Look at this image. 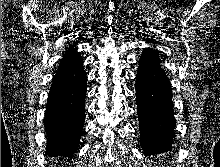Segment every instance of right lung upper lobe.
<instances>
[{"label":"right lung upper lobe","instance_id":"obj_1","mask_svg":"<svg viewBox=\"0 0 220 167\" xmlns=\"http://www.w3.org/2000/svg\"><path fill=\"white\" fill-rule=\"evenodd\" d=\"M81 62H82L81 56L72 47L65 52L58 69L75 66Z\"/></svg>","mask_w":220,"mask_h":167}]
</instances>
